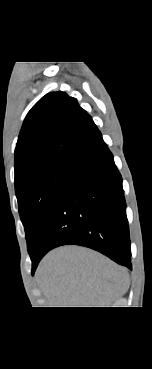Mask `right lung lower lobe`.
<instances>
[{
    "mask_svg": "<svg viewBox=\"0 0 152 369\" xmlns=\"http://www.w3.org/2000/svg\"><path fill=\"white\" fill-rule=\"evenodd\" d=\"M68 244L132 268L122 178L102 138L73 163L32 252V274L48 251Z\"/></svg>",
    "mask_w": 152,
    "mask_h": 369,
    "instance_id": "obj_1",
    "label": "right lung lower lobe"
}]
</instances>
